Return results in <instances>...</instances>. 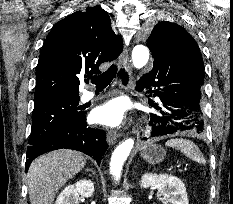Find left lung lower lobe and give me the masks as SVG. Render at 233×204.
Wrapping results in <instances>:
<instances>
[{
  "instance_id": "1",
  "label": "left lung lower lobe",
  "mask_w": 233,
  "mask_h": 204,
  "mask_svg": "<svg viewBox=\"0 0 233 204\" xmlns=\"http://www.w3.org/2000/svg\"><path fill=\"white\" fill-rule=\"evenodd\" d=\"M139 88H150L160 105L150 103L157 112L149 116L151 136L158 137L190 130L204 131L202 86L196 72L178 53L156 57L153 68L142 76Z\"/></svg>"
}]
</instances>
